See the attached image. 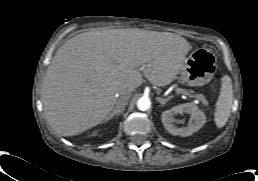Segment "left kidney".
Segmentation results:
<instances>
[{
  "label": "left kidney",
  "instance_id": "left-kidney-1",
  "mask_svg": "<svg viewBox=\"0 0 258 181\" xmlns=\"http://www.w3.org/2000/svg\"><path fill=\"white\" fill-rule=\"evenodd\" d=\"M178 113H187L191 115L194 120L193 123H190L186 127L178 128L174 125V122L176 121L174 115ZM162 123L169 133L186 137L198 131L206 123V117L198 106L193 103H185L164 111L162 113Z\"/></svg>",
  "mask_w": 258,
  "mask_h": 181
}]
</instances>
